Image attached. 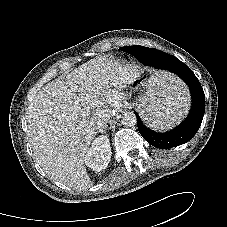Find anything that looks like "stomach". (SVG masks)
<instances>
[{"instance_id": "0dacf381", "label": "stomach", "mask_w": 227, "mask_h": 227, "mask_svg": "<svg viewBox=\"0 0 227 227\" xmlns=\"http://www.w3.org/2000/svg\"><path fill=\"white\" fill-rule=\"evenodd\" d=\"M114 92H115L116 94H118V93H119V91H117V90H114Z\"/></svg>"}]
</instances>
